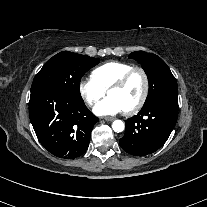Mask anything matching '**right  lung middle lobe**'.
<instances>
[{"mask_svg": "<svg viewBox=\"0 0 207 207\" xmlns=\"http://www.w3.org/2000/svg\"><path fill=\"white\" fill-rule=\"evenodd\" d=\"M99 63V59L72 53L60 52L48 60L35 76L31 92L39 89H57L82 99L80 81L82 76Z\"/></svg>", "mask_w": 207, "mask_h": 207, "instance_id": "1", "label": "right lung middle lobe"}]
</instances>
